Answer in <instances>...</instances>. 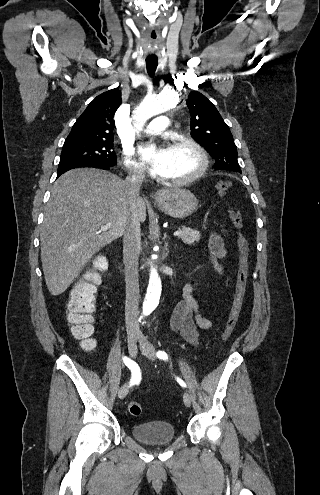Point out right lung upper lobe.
I'll use <instances>...</instances> for the list:
<instances>
[{
    "label": "right lung upper lobe",
    "instance_id": "cb5924a9",
    "mask_svg": "<svg viewBox=\"0 0 320 495\" xmlns=\"http://www.w3.org/2000/svg\"><path fill=\"white\" fill-rule=\"evenodd\" d=\"M121 104L118 88L106 91L89 103L65 141H113L114 114Z\"/></svg>",
    "mask_w": 320,
    "mask_h": 495
}]
</instances>
